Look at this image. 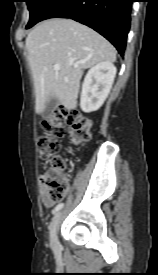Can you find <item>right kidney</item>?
<instances>
[{
	"label": "right kidney",
	"mask_w": 158,
	"mask_h": 275,
	"mask_svg": "<svg viewBox=\"0 0 158 275\" xmlns=\"http://www.w3.org/2000/svg\"><path fill=\"white\" fill-rule=\"evenodd\" d=\"M117 69L113 63L104 61L92 67L86 74L81 91L80 106L83 112L97 111L106 100Z\"/></svg>",
	"instance_id": "right-kidney-1"
}]
</instances>
